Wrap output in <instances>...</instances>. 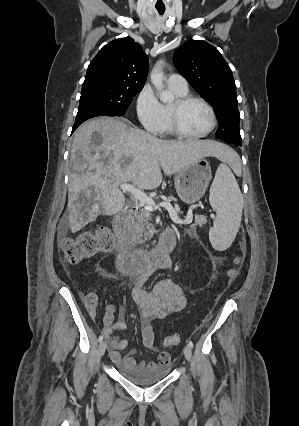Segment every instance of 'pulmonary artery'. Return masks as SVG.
Listing matches in <instances>:
<instances>
[{
  "label": "pulmonary artery",
  "instance_id": "1",
  "mask_svg": "<svg viewBox=\"0 0 299 426\" xmlns=\"http://www.w3.org/2000/svg\"><path fill=\"white\" fill-rule=\"evenodd\" d=\"M167 83L170 88L178 91L185 92L188 90V83L186 79L180 74H170L167 79Z\"/></svg>",
  "mask_w": 299,
  "mask_h": 426
}]
</instances>
